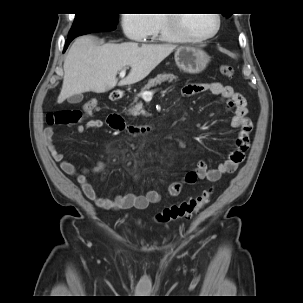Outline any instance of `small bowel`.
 Masks as SVG:
<instances>
[{
    "instance_id": "c3829d8e",
    "label": "small bowel",
    "mask_w": 303,
    "mask_h": 303,
    "mask_svg": "<svg viewBox=\"0 0 303 303\" xmlns=\"http://www.w3.org/2000/svg\"><path fill=\"white\" fill-rule=\"evenodd\" d=\"M208 91L213 95L220 96L226 100L229 108L235 109V115L232 119L231 125L238 129V135L235 139L236 149L230 152L228 158L218 164L217 167L210 169L206 161L199 160L194 169L185 174L183 180L174 181L169 184L166 191V196L177 197L180 195L185 184H194L197 180H208L209 182H217L223 175L234 173L238 166L244 160V154L249 146V137L252 131V122L245 117L246 101L244 97L235 92L231 86H225L221 83L214 82L210 84L205 83H190L182 88L184 96L189 97L196 93ZM113 129H117L115 123H108ZM107 124L100 119H91L83 125L77 126L79 133H84L92 130H105ZM55 132L53 128H46L44 130L45 142L49 153L53 160L59 164L60 168L68 175L75 176L85 196L93 201L98 207L104 210H125V209H146L150 204L158 203L162 199V194L150 190L144 195H137L129 193L126 195L118 194L114 198H106L98 195L97 191L89 181L87 174L89 169L84 168L78 171L76 167L71 164L62 153L57 150V147L52 140ZM106 164L103 161H97L91 171L93 173H101L105 170ZM194 177V179H193ZM140 176H134V182L138 183Z\"/></svg>"
}]
</instances>
